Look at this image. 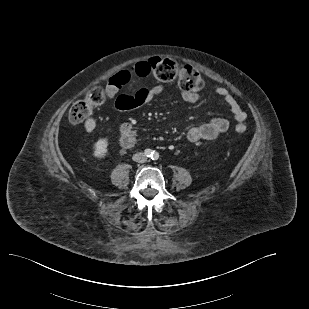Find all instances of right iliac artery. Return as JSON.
Here are the masks:
<instances>
[{"instance_id": "1", "label": "right iliac artery", "mask_w": 309, "mask_h": 309, "mask_svg": "<svg viewBox=\"0 0 309 309\" xmlns=\"http://www.w3.org/2000/svg\"><path fill=\"white\" fill-rule=\"evenodd\" d=\"M144 154H145L147 157H152L153 152H152V150H150V149H146V150L144 151Z\"/></svg>"}]
</instances>
